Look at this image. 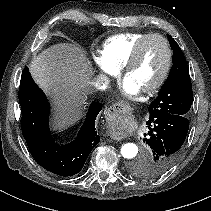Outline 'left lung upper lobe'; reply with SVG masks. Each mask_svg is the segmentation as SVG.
I'll return each mask as SVG.
<instances>
[{"mask_svg":"<svg viewBox=\"0 0 211 211\" xmlns=\"http://www.w3.org/2000/svg\"><path fill=\"white\" fill-rule=\"evenodd\" d=\"M167 37L173 50V65L167 80L148 110L150 116L171 113L188 117L193 94L187 62L177 42L170 35ZM140 171L147 176L144 167H141Z\"/></svg>","mask_w":211,"mask_h":211,"instance_id":"left-lung-upper-lobe-1","label":"left lung upper lobe"}]
</instances>
